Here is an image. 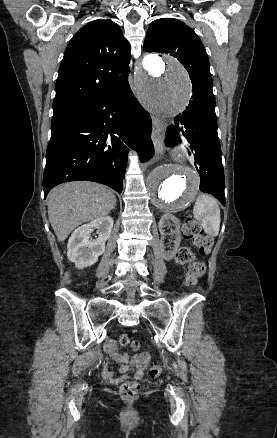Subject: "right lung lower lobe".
Returning a JSON list of instances; mask_svg holds the SVG:
<instances>
[{
	"mask_svg": "<svg viewBox=\"0 0 277 438\" xmlns=\"http://www.w3.org/2000/svg\"><path fill=\"white\" fill-rule=\"evenodd\" d=\"M69 67L94 70L82 64ZM51 130L44 198L54 186L75 180L102 183L122 192L129 148L139 153L141 161L154 154L150 115L133 95L128 78L53 119Z\"/></svg>",
	"mask_w": 277,
	"mask_h": 438,
	"instance_id": "obj_1",
	"label": "right lung lower lobe"
}]
</instances>
